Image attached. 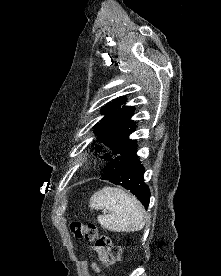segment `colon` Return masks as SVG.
<instances>
[{"instance_id": "obj_1", "label": "colon", "mask_w": 221, "mask_h": 276, "mask_svg": "<svg viewBox=\"0 0 221 276\" xmlns=\"http://www.w3.org/2000/svg\"><path fill=\"white\" fill-rule=\"evenodd\" d=\"M70 229L75 238L94 242L96 248L106 251L109 256V265L121 259V246L114 244L108 236L100 234L94 223L76 220L71 223Z\"/></svg>"}]
</instances>
